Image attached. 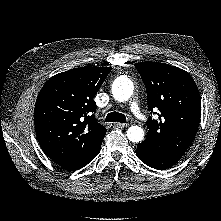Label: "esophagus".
I'll return each mask as SVG.
<instances>
[{
	"label": "esophagus",
	"instance_id": "obj_1",
	"mask_svg": "<svg viewBox=\"0 0 221 221\" xmlns=\"http://www.w3.org/2000/svg\"><path fill=\"white\" fill-rule=\"evenodd\" d=\"M114 126L117 128H126L128 126V124L116 122V123H114Z\"/></svg>",
	"mask_w": 221,
	"mask_h": 221
}]
</instances>
